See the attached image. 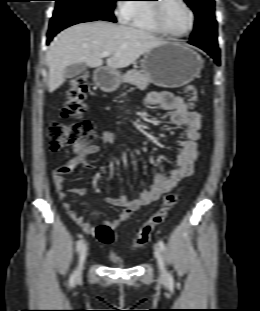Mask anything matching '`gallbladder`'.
Masks as SVG:
<instances>
[{"label": "gallbladder", "instance_id": "1", "mask_svg": "<svg viewBox=\"0 0 260 311\" xmlns=\"http://www.w3.org/2000/svg\"><path fill=\"white\" fill-rule=\"evenodd\" d=\"M87 66L84 63H76L66 67L65 69V77L73 78L84 72H86Z\"/></svg>", "mask_w": 260, "mask_h": 311}]
</instances>
